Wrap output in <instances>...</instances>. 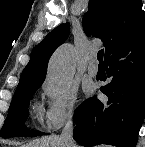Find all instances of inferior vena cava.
I'll return each mask as SVG.
<instances>
[{
    "instance_id": "inferior-vena-cava-1",
    "label": "inferior vena cava",
    "mask_w": 145,
    "mask_h": 147,
    "mask_svg": "<svg viewBox=\"0 0 145 147\" xmlns=\"http://www.w3.org/2000/svg\"><path fill=\"white\" fill-rule=\"evenodd\" d=\"M72 128H73V122L72 119L69 118L60 136L63 147H75L72 139Z\"/></svg>"
}]
</instances>
